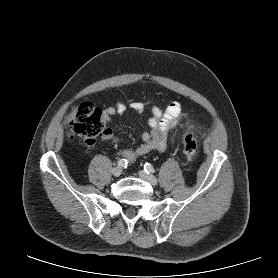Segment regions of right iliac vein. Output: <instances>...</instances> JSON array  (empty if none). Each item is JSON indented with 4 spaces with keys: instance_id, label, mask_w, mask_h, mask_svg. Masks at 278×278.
Listing matches in <instances>:
<instances>
[{
    "instance_id": "1",
    "label": "right iliac vein",
    "mask_w": 278,
    "mask_h": 278,
    "mask_svg": "<svg viewBox=\"0 0 278 278\" xmlns=\"http://www.w3.org/2000/svg\"><path fill=\"white\" fill-rule=\"evenodd\" d=\"M122 173V169L119 166H116L112 169V175L115 177L120 176Z\"/></svg>"
}]
</instances>
